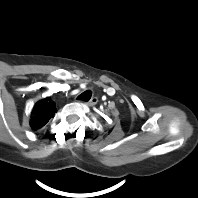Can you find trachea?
I'll use <instances>...</instances> for the list:
<instances>
[{"mask_svg": "<svg viewBox=\"0 0 198 198\" xmlns=\"http://www.w3.org/2000/svg\"><path fill=\"white\" fill-rule=\"evenodd\" d=\"M91 95H92L91 91H85L77 97V100L88 102L91 98Z\"/></svg>", "mask_w": 198, "mask_h": 198, "instance_id": "obj_1", "label": "trachea"}]
</instances>
